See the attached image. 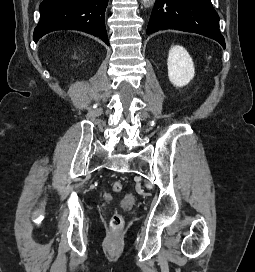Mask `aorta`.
I'll use <instances>...</instances> for the list:
<instances>
[{
  "instance_id": "1",
  "label": "aorta",
  "mask_w": 255,
  "mask_h": 272,
  "mask_svg": "<svg viewBox=\"0 0 255 272\" xmlns=\"http://www.w3.org/2000/svg\"><path fill=\"white\" fill-rule=\"evenodd\" d=\"M144 3H148V2H151L153 0H142Z\"/></svg>"
}]
</instances>
